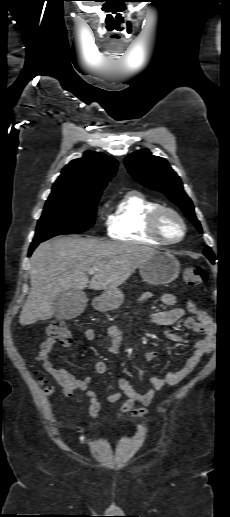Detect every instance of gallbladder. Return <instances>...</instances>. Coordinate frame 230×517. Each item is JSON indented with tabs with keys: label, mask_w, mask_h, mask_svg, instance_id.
Wrapping results in <instances>:
<instances>
[{
	"label": "gallbladder",
	"mask_w": 230,
	"mask_h": 517,
	"mask_svg": "<svg viewBox=\"0 0 230 517\" xmlns=\"http://www.w3.org/2000/svg\"><path fill=\"white\" fill-rule=\"evenodd\" d=\"M87 297L83 291L68 290L60 293L53 301L54 316L58 319H71L79 316L86 307Z\"/></svg>",
	"instance_id": "bac80fb5"
}]
</instances>
